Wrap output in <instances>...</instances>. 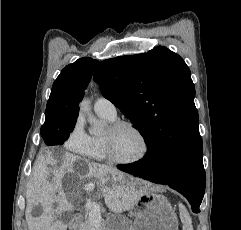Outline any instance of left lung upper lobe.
Wrapping results in <instances>:
<instances>
[{
  "instance_id": "1",
  "label": "left lung upper lobe",
  "mask_w": 241,
  "mask_h": 230,
  "mask_svg": "<svg viewBox=\"0 0 241 230\" xmlns=\"http://www.w3.org/2000/svg\"><path fill=\"white\" fill-rule=\"evenodd\" d=\"M94 80L133 123L147 147L161 144L173 171L202 155L195 87L184 60L158 46L147 53L101 62Z\"/></svg>"
}]
</instances>
